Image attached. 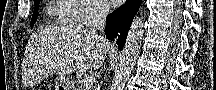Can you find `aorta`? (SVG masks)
<instances>
[{
    "instance_id": "1",
    "label": "aorta",
    "mask_w": 216,
    "mask_h": 90,
    "mask_svg": "<svg viewBox=\"0 0 216 90\" xmlns=\"http://www.w3.org/2000/svg\"><path fill=\"white\" fill-rule=\"evenodd\" d=\"M143 34L144 20L136 16L130 26L122 54L117 60L111 90H124L138 58Z\"/></svg>"
}]
</instances>
